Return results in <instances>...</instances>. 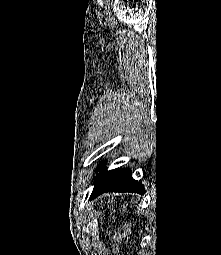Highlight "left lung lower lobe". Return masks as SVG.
I'll use <instances>...</instances> for the list:
<instances>
[{
  "label": "left lung lower lobe",
  "mask_w": 221,
  "mask_h": 255,
  "mask_svg": "<svg viewBox=\"0 0 221 255\" xmlns=\"http://www.w3.org/2000/svg\"><path fill=\"white\" fill-rule=\"evenodd\" d=\"M93 184L91 199L109 191L144 193L143 185L131 177L129 169L107 171L100 167V174H97Z\"/></svg>",
  "instance_id": "0a47b994"
}]
</instances>
